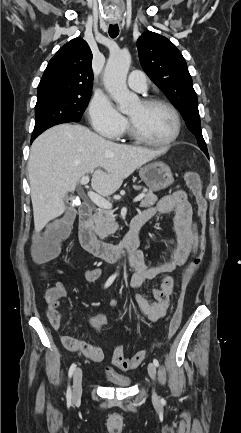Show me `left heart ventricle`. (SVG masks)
<instances>
[{"label":"left heart ventricle","mask_w":241,"mask_h":433,"mask_svg":"<svg viewBox=\"0 0 241 433\" xmlns=\"http://www.w3.org/2000/svg\"><path fill=\"white\" fill-rule=\"evenodd\" d=\"M128 115L136 128L150 140L164 141L174 133L175 119L166 107H146L138 103Z\"/></svg>","instance_id":"1"}]
</instances>
